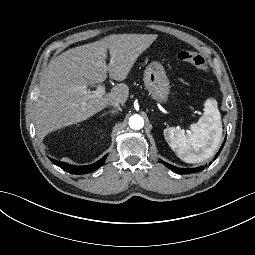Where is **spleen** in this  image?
<instances>
[{"label": "spleen", "mask_w": 255, "mask_h": 255, "mask_svg": "<svg viewBox=\"0 0 255 255\" xmlns=\"http://www.w3.org/2000/svg\"><path fill=\"white\" fill-rule=\"evenodd\" d=\"M204 107L202 123L191 125V131L187 135L174 127L164 130L165 140L186 163H199L209 159L221 141L222 122L216 100L208 99Z\"/></svg>", "instance_id": "3e777b00"}]
</instances>
